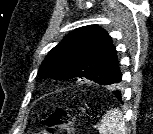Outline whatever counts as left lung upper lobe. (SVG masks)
<instances>
[{
	"label": "left lung upper lobe",
	"instance_id": "left-lung-upper-lobe-1",
	"mask_svg": "<svg viewBox=\"0 0 153 134\" xmlns=\"http://www.w3.org/2000/svg\"><path fill=\"white\" fill-rule=\"evenodd\" d=\"M38 75L44 79H88L112 90L121 87L122 81L112 39L96 25L66 35L45 57Z\"/></svg>",
	"mask_w": 153,
	"mask_h": 134
}]
</instances>
